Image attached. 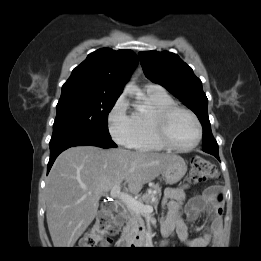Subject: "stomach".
I'll use <instances>...</instances> for the list:
<instances>
[{
	"mask_svg": "<svg viewBox=\"0 0 261 261\" xmlns=\"http://www.w3.org/2000/svg\"><path fill=\"white\" fill-rule=\"evenodd\" d=\"M187 172V165L183 158L176 156L172 160L168 167L162 172V177L168 184H175L181 180V178Z\"/></svg>",
	"mask_w": 261,
	"mask_h": 261,
	"instance_id": "stomach-1",
	"label": "stomach"
}]
</instances>
